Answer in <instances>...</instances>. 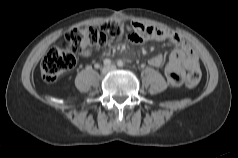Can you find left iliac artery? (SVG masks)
I'll return each instance as SVG.
<instances>
[{"instance_id": "left-iliac-artery-1", "label": "left iliac artery", "mask_w": 238, "mask_h": 158, "mask_svg": "<svg viewBox=\"0 0 238 158\" xmlns=\"http://www.w3.org/2000/svg\"><path fill=\"white\" fill-rule=\"evenodd\" d=\"M117 65H118L119 67H123V66H124V62H123L122 60H119V61L117 62Z\"/></svg>"}]
</instances>
